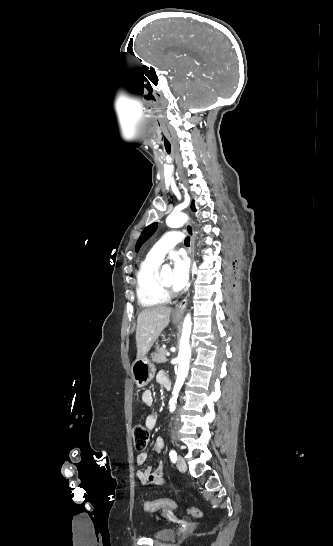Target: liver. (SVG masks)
I'll return each mask as SVG.
<instances>
[{"mask_svg":"<svg viewBox=\"0 0 333 546\" xmlns=\"http://www.w3.org/2000/svg\"><path fill=\"white\" fill-rule=\"evenodd\" d=\"M171 308L157 306L138 314L136 329L137 358L145 357L170 322Z\"/></svg>","mask_w":333,"mask_h":546,"instance_id":"liver-1","label":"liver"}]
</instances>
